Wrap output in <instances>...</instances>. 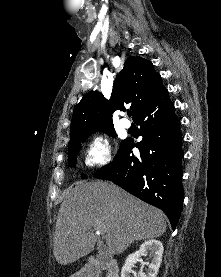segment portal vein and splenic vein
Here are the masks:
<instances>
[{
    "instance_id": "obj_1",
    "label": "portal vein and splenic vein",
    "mask_w": 221,
    "mask_h": 277,
    "mask_svg": "<svg viewBox=\"0 0 221 277\" xmlns=\"http://www.w3.org/2000/svg\"><path fill=\"white\" fill-rule=\"evenodd\" d=\"M94 228L96 229V231H97L98 234L103 235L104 232H105V227H103V226H101V225H98V223H95V224H94Z\"/></svg>"
}]
</instances>
